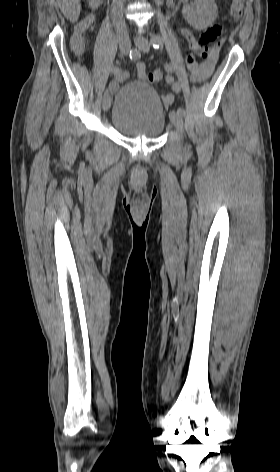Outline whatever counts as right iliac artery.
I'll return each mask as SVG.
<instances>
[{
    "label": "right iliac artery",
    "mask_w": 280,
    "mask_h": 472,
    "mask_svg": "<svg viewBox=\"0 0 280 472\" xmlns=\"http://www.w3.org/2000/svg\"><path fill=\"white\" fill-rule=\"evenodd\" d=\"M128 53L132 61H137L141 58V53L137 49H131ZM111 72L115 78H120L122 76V70L119 67H112Z\"/></svg>",
    "instance_id": "obj_1"
}]
</instances>
